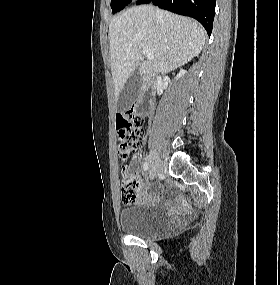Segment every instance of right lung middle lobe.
Segmentation results:
<instances>
[{
  "label": "right lung middle lobe",
  "instance_id": "obj_1",
  "mask_svg": "<svg viewBox=\"0 0 280 285\" xmlns=\"http://www.w3.org/2000/svg\"><path fill=\"white\" fill-rule=\"evenodd\" d=\"M132 0H111L112 13L122 10Z\"/></svg>",
  "mask_w": 280,
  "mask_h": 285
}]
</instances>
